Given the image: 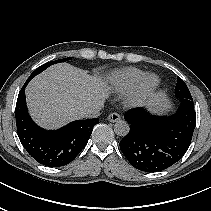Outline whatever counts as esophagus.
I'll return each mask as SVG.
<instances>
[{"label":"esophagus","mask_w":211,"mask_h":211,"mask_svg":"<svg viewBox=\"0 0 211 211\" xmlns=\"http://www.w3.org/2000/svg\"><path fill=\"white\" fill-rule=\"evenodd\" d=\"M107 119L110 122H117L120 120V115L118 113H111L109 114Z\"/></svg>","instance_id":"1"}]
</instances>
